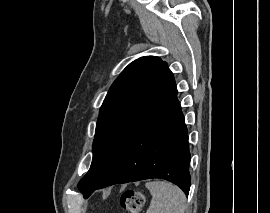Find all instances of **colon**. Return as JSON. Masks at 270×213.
Segmentation results:
<instances>
[{
    "instance_id": "obj_1",
    "label": "colon",
    "mask_w": 270,
    "mask_h": 213,
    "mask_svg": "<svg viewBox=\"0 0 270 213\" xmlns=\"http://www.w3.org/2000/svg\"><path fill=\"white\" fill-rule=\"evenodd\" d=\"M145 197L140 191L127 189L120 198V205L125 213H139L144 205Z\"/></svg>"
}]
</instances>
